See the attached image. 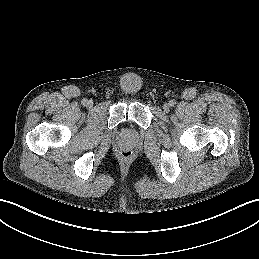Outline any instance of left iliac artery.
<instances>
[{
    "instance_id": "1",
    "label": "left iliac artery",
    "mask_w": 259,
    "mask_h": 259,
    "mask_svg": "<svg viewBox=\"0 0 259 259\" xmlns=\"http://www.w3.org/2000/svg\"><path fill=\"white\" fill-rule=\"evenodd\" d=\"M169 104H170V106H174V105L176 104V102H175L174 100H171V101L169 102Z\"/></svg>"
}]
</instances>
